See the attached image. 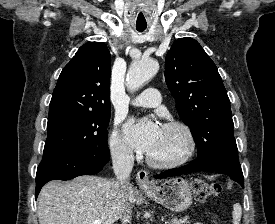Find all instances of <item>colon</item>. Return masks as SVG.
Listing matches in <instances>:
<instances>
[{"label": "colon", "instance_id": "5ec220e1", "mask_svg": "<svg viewBox=\"0 0 275 224\" xmlns=\"http://www.w3.org/2000/svg\"><path fill=\"white\" fill-rule=\"evenodd\" d=\"M192 189L197 201H204L220 193V187L217 184L201 179H197L193 182Z\"/></svg>", "mask_w": 275, "mask_h": 224}]
</instances>
